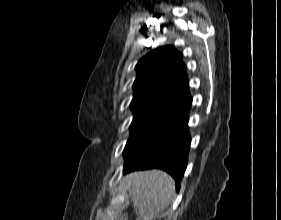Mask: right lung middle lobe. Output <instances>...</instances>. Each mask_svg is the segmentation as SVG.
I'll use <instances>...</instances> for the list:
<instances>
[{"mask_svg": "<svg viewBox=\"0 0 281 220\" xmlns=\"http://www.w3.org/2000/svg\"><path fill=\"white\" fill-rule=\"evenodd\" d=\"M168 118H134L130 138L124 148L125 164L132 160L170 122Z\"/></svg>", "mask_w": 281, "mask_h": 220, "instance_id": "right-lung-middle-lobe-1", "label": "right lung middle lobe"}]
</instances>
